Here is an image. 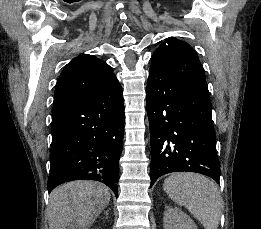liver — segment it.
<instances>
[{"mask_svg":"<svg viewBox=\"0 0 261 229\" xmlns=\"http://www.w3.org/2000/svg\"><path fill=\"white\" fill-rule=\"evenodd\" d=\"M110 199L109 189L96 181L60 185L49 197V229H90Z\"/></svg>","mask_w":261,"mask_h":229,"instance_id":"1","label":"liver"}]
</instances>
